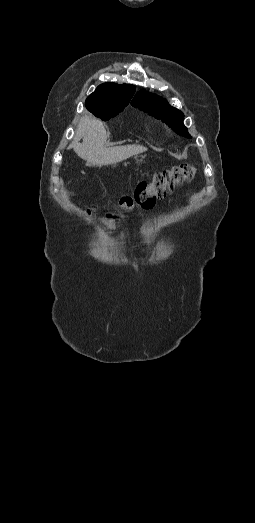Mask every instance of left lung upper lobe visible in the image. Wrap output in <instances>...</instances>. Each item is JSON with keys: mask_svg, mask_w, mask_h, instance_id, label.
I'll use <instances>...</instances> for the list:
<instances>
[{"mask_svg": "<svg viewBox=\"0 0 255 523\" xmlns=\"http://www.w3.org/2000/svg\"><path fill=\"white\" fill-rule=\"evenodd\" d=\"M132 105L144 112H148L158 119H162L166 124L172 127L177 134L191 138L187 128L183 125L184 114L169 105L165 99L141 90L135 95Z\"/></svg>", "mask_w": 255, "mask_h": 523, "instance_id": "left-lung-upper-lobe-1", "label": "left lung upper lobe"}]
</instances>
